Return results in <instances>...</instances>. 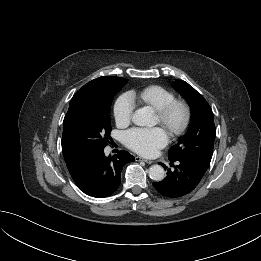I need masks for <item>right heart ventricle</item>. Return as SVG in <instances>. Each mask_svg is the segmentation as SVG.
Returning a JSON list of instances; mask_svg holds the SVG:
<instances>
[{
  "label": "right heart ventricle",
  "mask_w": 261,
  "mask_h": 261,
  "mask_svg": "<svg viewBox=\"0 0 261 261\" xmlns=\"http://www.w3.org/2000/svg\"><path fill=\"white\" fill-rule=\"evenodd\" d=\"M130 97L155 111L161 110L175 100V94L171 90L159 85H151L139 91L131 92Z\"/></svg>",
  "instance_id": "1"
}]
</instances>
